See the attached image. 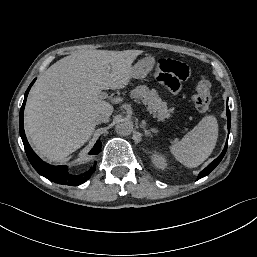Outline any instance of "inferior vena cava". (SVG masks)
Returning a JSON list of instances; mask_svg holds the SVG:
<instances>
[{
    "label": "inferior vena cava",
    "mask_w": 257,
    "mask_h": 257,
    "mask_svg": "<svg viewBox=\"0 0 257 257\" xmlns=\"http://www.w3.org/2000/svg\"><path fill=\"white\" fill-rule=\"evenodd\" d=\"M109 117H110V115L107 114V113L99 114V115L96 117V122H97V123H106V122L109 121Z\"/></svg>",
    "instance_id": "602c4592"
}]
</instances>
